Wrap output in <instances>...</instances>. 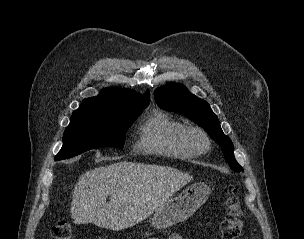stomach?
<instances>
[{"label":"stomach","mask_w":304,"mask_h":239,"mask_svg":"<svg viewBox=\"0 0 304 239\" xmlns=\"http://www.w3.org/2000/svg\"><path fill=\"white\" fill-rule=\"evenodd\" d=\"M207 184L198 182L186 188L179 196L166 200L150 218L155 229H165L187 220L203 205L210 194Z\"/></svg>","instance_id":"obj_1"}]
</instances>
